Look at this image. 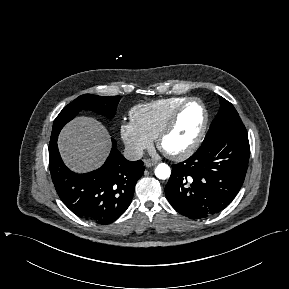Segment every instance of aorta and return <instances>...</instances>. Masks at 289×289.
<instances>
[{"instance_id": "1", "label": "aorta", "mask_w": 289, "mask_h": 289, "mask_svg": "<svg viewBox=\"0 0 289 289\" xmlns=\"http://www.w3.org/2000/svg\"><path fill=\"white\" fill-rule=\"evenodd\" d=\"M171 175L170 167L165 163H160L155 169V176L158 179L165 180Z\"/></svg>"}]
</instances>
